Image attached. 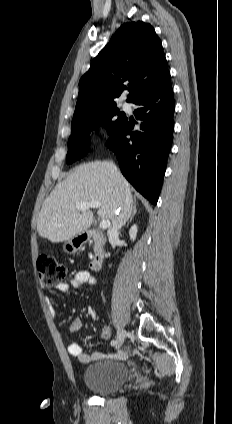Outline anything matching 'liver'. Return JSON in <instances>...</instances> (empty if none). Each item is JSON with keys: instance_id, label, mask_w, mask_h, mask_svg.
Here are the masks:
<instances>
[{"instance_id": "obj_1", "label": "liver", "mask_w": 232, "mask_h": 424, "mask_svg": "<svg viewBox=\"0 0 232 424\" xmlns=\"http://www.w3.org/2000/svg\"><path fill=\"white\" fill-rule=\"evenodd\" d=\"M126 195H131L130 185L112 163L80 165L45 199L37 219L38 234L53 243L68 241L87 231L93 222V212H80L77 205L100 201L98 216L112 221Z\"/></svg>"}]
</instances>
